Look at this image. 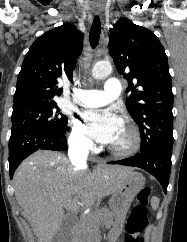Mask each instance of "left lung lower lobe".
Instances as JSON below:
<instances>
[{"label": "left lung lower lobe", "mask_w": 187, "mask_h": 242, "mask_svg": "<svg viewBox=\"0 0 187 242\" xmlns=\"http://www.w3.org/2000/svg\"><path fill=\"white\" fill-rule=\"evenodd\" d=\"M173 145L162 146L148 151H140L135 156L119 161L108 162L109 164H120L126 166L139 167L149 172L162 185L165 193L169 183L171 171V156Z\"/></svg>", "instance_id": "0a47b994"}]
</instances>
